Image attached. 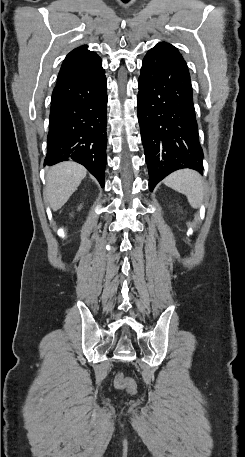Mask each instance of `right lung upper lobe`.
I'll use <instances>...</instances> for the list:
<instances>
[{"mask_svg": "<svg viewBox=\"0 0 245 457\" xmlns=\"http://www.w3.org/2000/svg\"><path fill=\"white\" fill-rule=\"evenodd\" d=\"M102 68L101 58L87 50V46H80L72 50L65 58L57 82L92 73Z\"/></svg>", "mask_w": 245, "mask_h": 457, "instance_id": "obj_1", "label": "right lung upper lobe"}]
</instances>
